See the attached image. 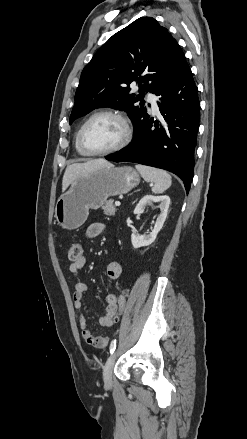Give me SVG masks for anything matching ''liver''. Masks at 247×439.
Here are the masks:
<instances>
[{"label":"liver","instance_id":"liver-1","mask_svg":"<svg viewBox=\"0 0 247 439\" xmlns=\"http://www.w3.org/2000/svg\"><path fill=\"white\" fill-rule=\"evenodd\" d=\"M108 166L112 164L105 159H93L85 163L69 165L63 176L62 191L64 192L75 179Z\"/></svg>","mask_w":247,"mask_h":439}]
</instances>
